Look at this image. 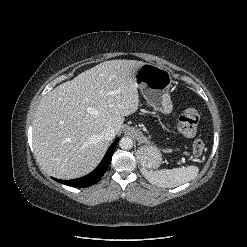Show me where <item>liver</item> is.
Here are the masks:
<instances>
[{"mask_svg": "<svg viewBox=\"0 0 247 247\" xmlns=\"http://www.w3.org/2000/svg\"><path fill=\"white\" fill-rule=\"evenodd\" d=\"M137 60H110L64 82L47 93L33 119V147L41 168L59 179L91 172L101 161L109 141L107 127L119 134L125 116L135 113L139 95Z\"/></svg>", "mask_w": 247, "mask_h": 247, "instance_id": "6515ba94", "label": "liver"}]
</instances>
